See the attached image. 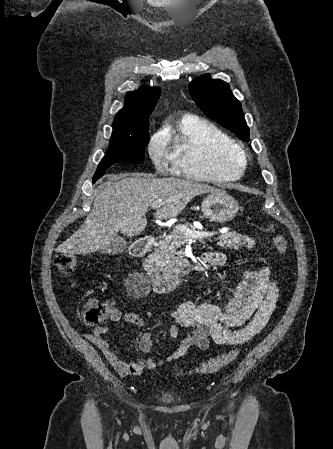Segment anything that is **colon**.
<instances>
[{
  "instance_id": "1",
  "label": "colon",
  "mask_w": 333,
  "mask_h": 449,
  "mask_svg": "<svg viewBox=\"0 0 333 449\" xmlns=\"http://www.w3.org/2000/svg\"><path fill=\"white\" fill-rule=\"evenodd\" d=\"M272 243L280 253L288 250L287 241L280 235L272 236ZM76 256L67 252H57L53 257V264L57 270L66 275L71 273L76 266ZM114 310L111 302H92L88 304L82 313L85 324L95 327H104L108 317ZM239 353L238 348L231 349L219 356L210 358L204 362L197 371L200 373H214L231 364Z\"/></svg>"
}]
</instances>
